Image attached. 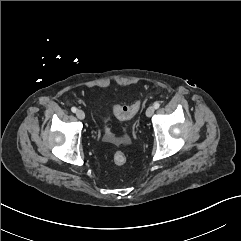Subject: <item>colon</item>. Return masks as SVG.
I'll return each mask as SVG.
<instances>
[{
  "mask_svg": "<svg viewBox=\"0 0 241 241\" xmlns=\"http://www.w3.org/2000/svg\"><path fill=\"white\" fill-rule=\"evenodd\" d=\"M140 107L141 102L137 101L131 105H117L114 108V112L119 119L127 120L133 117L138 112ZM105 135L107 139H113V135L108 129H106ZM113 161L117 166H122L126 163L127 157L123 152L118 151L114 154Z\"/></svg>",
  "mask_w": 241,
  "mask_h": 241,
  "instance_id": "5ec220e1",
  "label": "colon"
}]
</instances>
